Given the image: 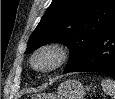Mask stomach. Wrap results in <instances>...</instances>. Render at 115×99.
<instances>
[{"label": "stomach", "instance_id": "0dacf381", "mask_svg": "<svg viewBox=\"0 0 115 99\" xmlns=\"http://www.w3.org/2000/svg\"><path fill=\"white\" fill-rule=\"evenodd\" d=\"M89 87L84 86L78 80H66L62 82L54 94H39L33 99H83L85 90Z\"/></svg>", "mask_w": 115, "mask_h": 99}]
</instances>
